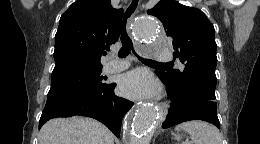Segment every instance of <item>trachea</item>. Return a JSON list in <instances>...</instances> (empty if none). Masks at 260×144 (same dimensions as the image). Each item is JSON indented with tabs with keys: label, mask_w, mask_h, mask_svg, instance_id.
<instances>
[{
	"label": "trachea",
	"mask_w": 260,
	"mask_h": 144,
	"mask_svg": "<svg viewBox=\"0 0 260 144\" xmlns=\"http://www.w3.org/2000/svg\"><path fill=\"white\" fill-rule=\"evenodd\" d=\"M137 4H138V0L132 1L131 5L125 12L123 21L120 24L119 30L121 33L122 47L119 50V57L125 58L126 56L129 55L130 51L132 50V52L138 57V59L144 63L158 64V65L171 64L170 62L161 63V62H157V61L151 60V59H144V58L140 57L139 55H137L136 52L134 51L132 40L129 38V36L126 32V22H127V18H129L131 16V14L135 11Z\"/></svg>",
	"instance_id": "1"
}]
</instances>
